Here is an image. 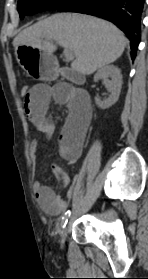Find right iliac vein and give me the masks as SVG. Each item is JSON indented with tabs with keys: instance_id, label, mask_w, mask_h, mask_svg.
<instances>
[{
	"instance_id": "1",
	"label": "right iliac vein",
	"mask_w": 148,
	"mask_h": 279,
	"mask_svg": "<svg viewBox=\"0 0 148 279\" xmlns=\"http://www.w3.org/2000/svg\"><path fill=\"white\" fill-rule=\"evenodd\" d=\"M71 227V222H69L65 228L63 229L62 233H61V243L63 244Z\"/></svg>"
}]
</instances>
